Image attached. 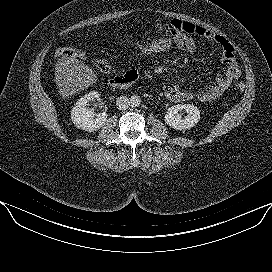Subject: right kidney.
<instances>
[{
	"label": "right kidney",
	"instance_id": "1",
	"mask_svg": "<svg viewBox=\"0 0 272 272\" xmlns=\"http://www.w3.org/2000/svg\"><path fill=\"white\" fill-rule=\"evenodd\" d=\"M99 100L100 94L97 91H91L81 97L72 108L71 119L73 124L85 131H96L100 129L107 119L106 112H102L95 117L94 110L88 108L90 101Z\"/></svg>",
	"mask_w": 272,
	"mask_h": 272
}]
</instances>
